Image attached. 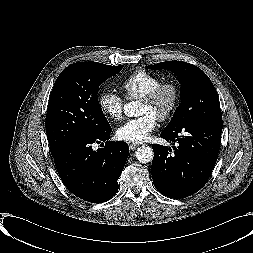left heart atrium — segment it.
<instances>
[{"label": "left heart atrium", "mask_w": 253, "mask_h": 253, "mask_svg": "<svg viewBox=\"0 0 253 253\" xmlns=\"http://www.w3.org/2000/svg\"><path fill=\"white\" fill-rule=\"evenodd\" d=\"M156 126L157 119L150 114H144L138 118L129 119L119 126L116 136L123 141L141 143L149 138Z\"/></svg>", "instance_id": "left-heart-atrium-1"}]
</instances>
